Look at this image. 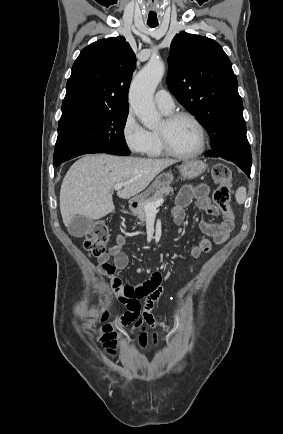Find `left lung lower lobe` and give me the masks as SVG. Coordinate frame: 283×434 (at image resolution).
<instances>
[{
	"instance_id": "left-lung-lower-lobe-1",
	"label": "left lung lower lobe",
	"mask_w": 283,
	"mask_h": 434,
	"mask_svg": "<svg viewBox=\"0 0 283 434\" xmlns=\"http://www.w3.org/2000/svg\"><path fill=\"white\" fill-rule=\"evenodd\" d=\"M207 156V154L205 155ZM209 157V156H207ZM251 164L252 162H242V163H238V167H240L248 177H250V172H251Z\"/></svg>"
}]
</instances>
